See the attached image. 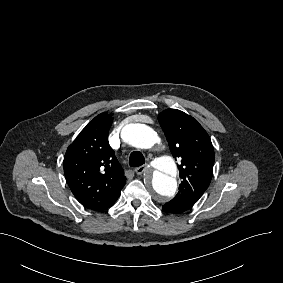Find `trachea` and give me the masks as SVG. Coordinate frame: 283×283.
<instances>
[{
  "mask_svg": "<svg viewBox=\"0 0 283 283\" xmlns=\"http://www.w3.org/2000/svg\"><path fill=\"white\" fill-rule=\"evenodd\" d=\"M145 163L143 154L139 151H134L130 154L129 165L131 167H140Z\"/></svg>",
  "mask_w": 283,
  "mask_h": 283,
  "instance_id": "obj_1",
  "label": "trachea"
}]
</instances>
